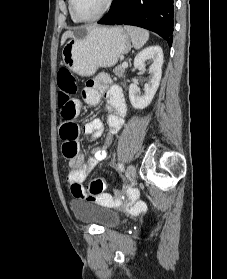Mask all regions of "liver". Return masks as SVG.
Instances as JSON below:
<instances>
[{"instance_id": "1", "label": "liver", "mask_w": 227, "mask_h": 279, "mask_svg": "<svg viewBox=\"0 0 227 279\" xmlns=\"http://www.w3.org/2000/svg\"><path fill=\"white\" fill-rule=\"evenodd\" d=\"M93 26H88L86 27L87 29H90L92 28ZM73 37V32L72 31H66L63 33L62 35V38H61V45H63L65 43V41L68 39V38H71Z\"/></svg>"}]
</instances>
